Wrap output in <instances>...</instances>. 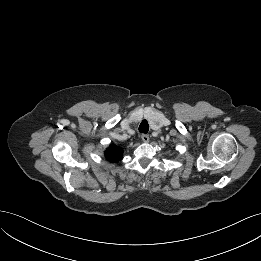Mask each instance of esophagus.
<instances>
[{
	"instance_id": "1",
	"label": "esophagus",
	"mask_w": 261,
	"mask_h": 261,
	"mask_svg": "<svg viewBox=\"0 0 261 261\" xmlns=\"http://www.w3.org/2000/svg\"><path fill=\"white\" fill-rule=\"evenodd\" d=\"M141 139H142V141H143L144 143H147V142H149V135H147V134H142V135H141Z\"/></svg>"
}]
</instances>
